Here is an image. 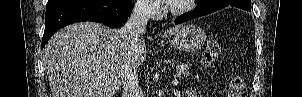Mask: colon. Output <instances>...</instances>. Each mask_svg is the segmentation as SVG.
Masks as SVG:
<instances>
[{"instance_id": "obj_1", "label": "colon", "mask_w": 302, "mask_h": 97, "mask_svg": "<svg viewBox=\"0 0 302 97\" xmlns=\"http://www.w3.org/2000/svg\"><path fill=\"white\" fill-rule=\"evenodd\" d=\"M221 46L217 41L211 40L207 43L203 50L202 62L205 67L212 66L219 58ZM245 89V81L240 76H235L230 81L229 97H241Z\"/></svg>"}]
</instances>
